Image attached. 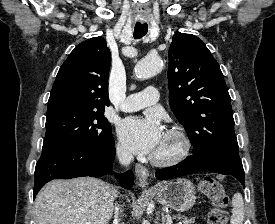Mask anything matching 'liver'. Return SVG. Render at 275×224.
Wrapping results in <instances>:
<instances>
[{"mask_svg": "<svg viewBox=\"0 0 275 224\" xmlns=\"http://www.w3.org/2000/svg\"><path fill=\"white\" fill-rule=\"evenodd\" d=\"M117 190L100 179L53 180L36 196L38 224H108Z\"/></svg>", "mask_w": 275, "mask_h": 224, "instance_id": "1", "label": "liver"}]
</instances>
